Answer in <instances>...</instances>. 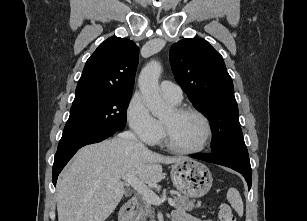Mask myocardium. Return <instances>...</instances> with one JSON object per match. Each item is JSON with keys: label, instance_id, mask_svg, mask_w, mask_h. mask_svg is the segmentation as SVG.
<instances>
[{"label": "myocardium", "instance_id": "obj_1", "mask_svg": "<svg viewBox=\"0 0 307 221\" xmlns=\"http://www.w3.org/2000/svg\"><path fill=\"white\" fill-rule=\"evenodd\" d=\"M174 110L179 115L193 114L199 117L202 120L204 127H205V136H204L202 143L196 148H191V149L180 148L172 142L169 128L162 121L163 142L165 146L170 151L174 153H178V154H183V155H193V154H197V153L204 151L209 146L211 139H212V134H213L212 125H211L209 118L206 116L205 113H203L199 109L190 107V106L176 107L174 108Z\"/></svg>", "mask_w": 307, "mask_h": 221}]
</instances>
